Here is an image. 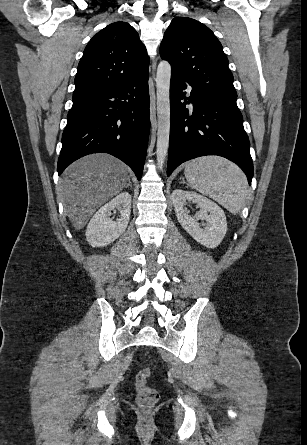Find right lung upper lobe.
Here are the masks:
<instances>
[{"label":"right lung upper lobe","mask_w":307,"mask_h":445,"mask_svg":"<svg viewBox=\"0 0 307 445\" xmlns=\"http://www.w3.org/2000/svg\"><path fill=\"white\" fill-rule=\"evenodd\" d=\"M149 61L136 30L126 22L112 23L86 46L73 95L127 82L148 72Z\"/></svg>","instance_id":"right-lung-upper-lobe-1"}]
</instances>
